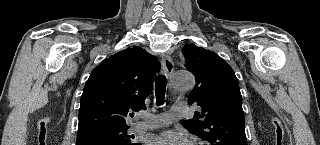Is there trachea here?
Here are the masks:
<instances>
[{"mask_svg": "<svg viewBox=\"0 0 320 145\" xmlns=\"http://www.w3.org/2000/svg\"><path fill=\"white\" fill-rule=\"evenodd\" d=\"M166 85L167 80L164 75H158L155 78V95L157 105H163L164 103Z\"/></svg>", "mask_w": 320, "mask_h": 145, "instance_id": "obj_1", "label": "trachea"}]
</instances>
